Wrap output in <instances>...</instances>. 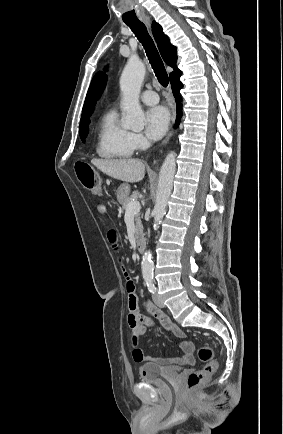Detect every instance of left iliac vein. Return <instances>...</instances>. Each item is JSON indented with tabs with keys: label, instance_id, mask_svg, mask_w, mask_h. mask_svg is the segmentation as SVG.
<instances>
[{
	"label": "left iliac vein",
	"instance_id": "obj_1",
	"mask_svg": "<svg viewBox=\"0 0 283 434\" xmlns=\"http://www.w3.org/2000/svg\"><path fill=\"white\" fill-rule=\"evenodd\" d=\"M153 300H154V303H155L158 307L163 308V307L165 306V305H164V302L162 301V299L160 298V296H159L156 292H154Z\"/></svg>",
	"mask_w": 283,
	"mask_h": 434
}]
</instances>
